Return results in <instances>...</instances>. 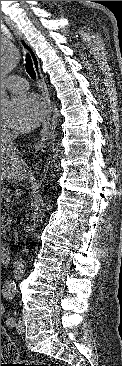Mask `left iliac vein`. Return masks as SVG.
<instances>
[{
  "instance_id": "1",
  "label": "left iliac vein",
  "mask_w": 122,
  "mask_h": 366,
  "mask_svg": "<svg viewBox=\"0 0 122 366\" xmlns=\"http://www.w3.org/2000/svg\"><path fill=\"white\" fill-rule=\"evenodd\" d=\"M16 329L19 333H24L25 332V327L24 324L22 322V320H18V322L15 324Z\"/></svg>"
}]
</instances>
